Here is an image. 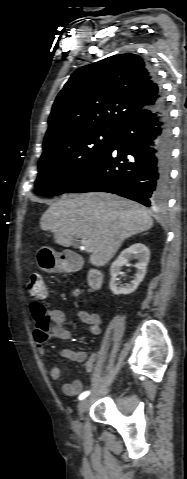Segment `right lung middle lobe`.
<instances>
[{"instance_id":"obj_1","label":"right lung middle lobe","mask_w":187,"mask_h":479,"mask_svg":"<svg viewBox=\"0 0 187 479\" xmlns=\"http://www.w3.org/2000/svg\"><path fill=\"white\" fill-rule=\"evenodd\" d=\"M119 129L92 128L43 145L36 194L65 193L112 146Z\"/></svg>"}]
</instances>
